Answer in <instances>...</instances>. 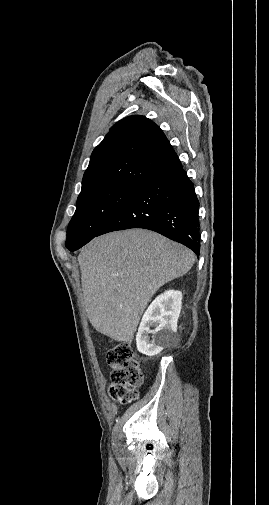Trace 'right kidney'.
Instances as JSON below:
<instances>
[{
  "instance_id": "right-kidney-1",
  "label": "right kidney",
  "mask_w": 269,
  "mask_h": 505,
  "mask_svg": "<svg viewBox=\"0 0 269 505\" xmlns=\"http://www.w3.org/2000/svg\"><path fill=\"white\" fill-rule=\"evenodd\" d=\"M182 293L168 290L159 295L144 313L136 335L137 349L147 356L159 354L176 339ZM151 327H155L151 330ZM152 334L149 340L148 334Z\"/></svg>"
}]
</instances>
